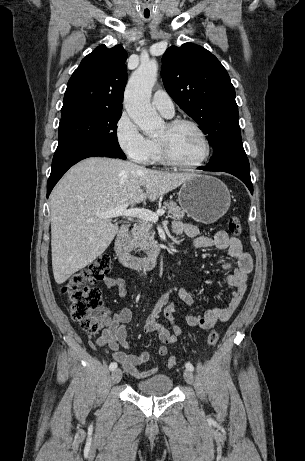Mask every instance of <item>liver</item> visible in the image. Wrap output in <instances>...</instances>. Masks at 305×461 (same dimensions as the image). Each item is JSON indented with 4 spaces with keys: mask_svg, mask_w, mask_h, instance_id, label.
Here are the masks:
<instances>
[{
    "mask_svg": "<svg viewBox=\"0 0 305 461\" xmlns=\"http://www.w3.org/2000/svg\"><path fill=\"white\" fill-rule=\"evenodd\" d=\"M194 174L147 169L129 161L92 157L66 172L50 195L52 269L58 284L100 256L118 226L98 215L174 190Z\"/></svg>",
    "mask_w": 305,
    "mask_h": 461,
    "instance_id": "liver-1",
    "label": "liver"
}]
</instances>
